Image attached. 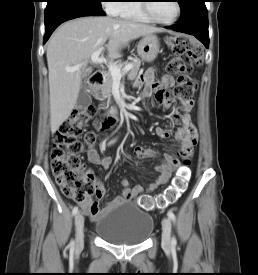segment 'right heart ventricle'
Here are the masks:
<instances>
[{
	"instance_id": "obj_1",
	"label": "right heart ventricle",
	"mask_w": 258,
	"mask_h": 275,
	"mask_svg": "<svg viewBox=\"0 0 258 275\" xmlns=\"http://www.w3.org/2000/svg\"><path fill=\"white\" fill-rule=\"evenodd\" d=\"M121 2V1H120ZM141 0H126L123 3H119V7L114 13V15L120 16L122 18H127L139 22L151 23V21L144 13Z\"/></svg>"
}]
</instances>
